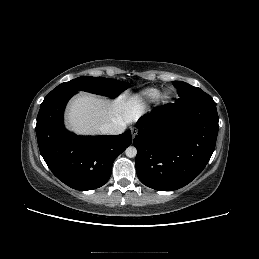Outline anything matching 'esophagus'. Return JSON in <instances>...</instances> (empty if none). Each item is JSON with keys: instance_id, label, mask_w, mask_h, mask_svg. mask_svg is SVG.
Returning <instances> with one entry per match:
<instances>
[{"instance_id": "34e87169", "label": "esophagus", "mask_w": 259, "mask_h": 259, "mask_svg": "<svg viewBox=\"0 0 259 259\" xmlns=\"http://www.w3.org/2000/svg\"><path fill=\"white\" fill-rule=\"evenodd\" d=\"M131 133H132V137L134 138L137 135V133H138V129L136 127H132L131 128Z\"/></svg>"}]
</instances>
